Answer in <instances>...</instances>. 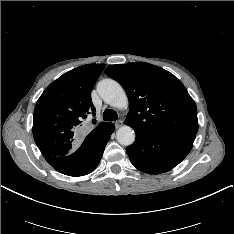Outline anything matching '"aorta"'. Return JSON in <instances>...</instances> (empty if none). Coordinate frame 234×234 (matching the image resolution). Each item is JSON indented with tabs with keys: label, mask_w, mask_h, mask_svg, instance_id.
I'll return each instance as SVG.
<instances>
[{
	"label": "aorta",
	"mask_w": 234,
	"mask_h": 234,
	"mask_svg": "<svg viewBox=\"0 0 234 234\" xmlns=\"http://www.w3.org/2000/svg\"><path fill=\"white\" fill-rule=\"evenodd\" d=\"M97 91L104 102L112 107L124 108L128 97L122 86L115 80L104 79L97 85ZM119 144L129 146L135 141V132L130 126H122L116 132Z\"/></svg>",
	"instance_id": "1"
}]
</instances>
